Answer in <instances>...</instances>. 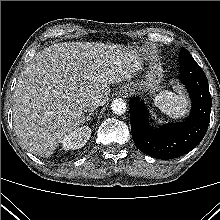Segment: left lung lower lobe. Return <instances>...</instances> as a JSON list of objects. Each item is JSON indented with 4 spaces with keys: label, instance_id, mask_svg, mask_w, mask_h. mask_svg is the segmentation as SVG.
<instances>
[{
    "label": "left lung lower lobe",
    "instance_id": "0a47b994",
    "mask_svg": "<svg viewBox=\"0 0 220 220\" xmlns=\"http://www.w3.org/2000/svg\"><path fill=\"white\" fill-rule=\"evenodd\" d=\"M180 80L187 87L192 100L191 114L182 123L152 129L148 124L147 110L143 102L136 97L130 99L133 141L143 153L151 157H180L195 148L206 134L211 111L208 80L202 68L185 48H181Z\"/></svg>",
    "mask_w": 220,
    "mask_h": 220
}]
</instances>
